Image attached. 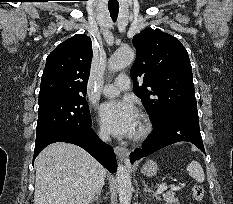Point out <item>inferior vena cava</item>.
<instances>
[{"instance_id":"inferior-vena-cava-1","label":"inferior vena cava","mask_w":233,"mask_h":204,"mask_svg":"<svg viewBox=\"0 0 233 204\" xmlns=\"http://www.w3.org/2000/svg\"><path fill=\"white\" fill-rule=\"evenodd\" d=\"M100 138L103 140V141H109L110 140V136L108 133L106 132H101L100 133Z\"/></svg>"}]
</instances>
